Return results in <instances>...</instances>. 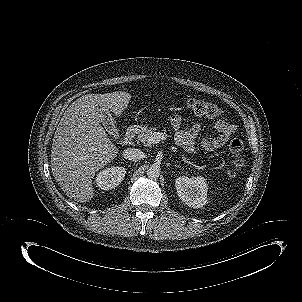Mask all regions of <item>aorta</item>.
I'll list each match as a JSON object with an SVG mask.
<instances>
[{
  "instance_id": "obj_1",
  "label": "aorta",
  "mask_w": 302,
  "mask_h": 302,
  "mask_svg": "<svg viewBox=\"0 0 302 302\" xmlns=\"http://www.w3.org/2000/svg\"><path fill=\"white\" fill-rule=\"evenodd\" d=\"M160 167L158 165H151L147 168L146 174L151 179H156L160 176Z\"/></svg>"
}]
</instances>
